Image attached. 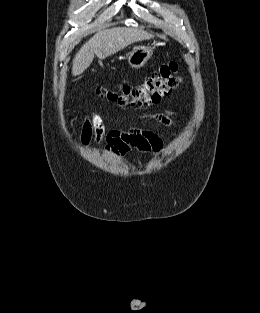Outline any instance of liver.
Here are the masks:
<instances>
[{"label":"liver","instance_id":"6515ba94","mask_svg":"<svg viewBox=\"0 0 260 313\" xmlns=\"http://www.w3.org/2000/svg\"><path fill=\"white\" fill-rule=\"evenodd\" d=\"M153 37L154 34L152 33L134 28L115 27L99 31L75 55L72 64V75L82 74L92 63L94 55L99 59H105L134 42L148 40Z\"/></svg>","mask_w":260,"mask_h":313}]
</instances>
